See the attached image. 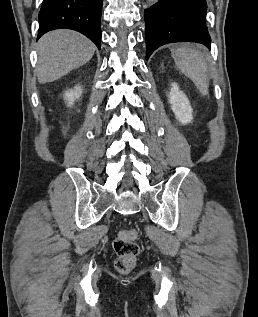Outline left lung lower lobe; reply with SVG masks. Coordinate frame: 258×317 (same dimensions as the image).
Here are the masks:
<instances>
[{
    "label": "left lung lower lobe",
    "instance_id": "obj_1",
    "mask_svg": "<svg viewBox=\"0 0 258 317\" xmlns=\"http://www.w3.org/2000/svg\"><path fill=\"white\" fill-rule=\"evenodd\" d=\"M206 14V0H161L146 9V60L167 43L197 42L210 48Z\"/></svg>",
    "mask_w": 258,
    "mask_h": 317
}]
</instances>
